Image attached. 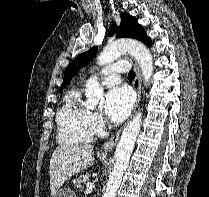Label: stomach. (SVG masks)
<instances>
[{
  "mask_svg": "<svg viewBox=\"0 0 209 197\" xmlns=\"http://www.w3.org/2000/svg\"><path fill=\"white\" fill-rule=\"evenodd\" d=\"M54 197H76L75 193L69 188L60 189L56 192Z\"/></svg>",
  "mask_w": 209,
  "mask_h": 197,
  "instance_id": "stomach-1",
  "label": "stomach"
}]
</instances>
